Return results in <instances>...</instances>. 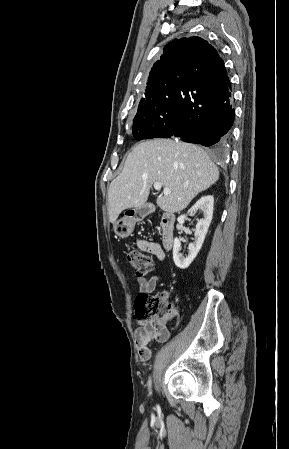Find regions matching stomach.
Masks as SVG:
<instances>
[{"label": "stomach", "mask_w": 289, "mask_h": 449, "mask_svg": "<svg viewBox=\"0 0 289 449\" xmlns=\"http://www.w3.org/2000/svg\"><path fill=\"white\" fill-rule=\"evenodd\" d=\"M136 219L124 216L114 224V231L119 238H127L134 230Z\"/></svg>", "instance_id": "1"}]
</instances>
